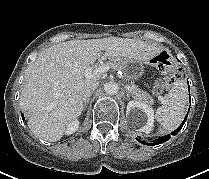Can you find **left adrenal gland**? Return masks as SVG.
Masks as SVG:
<instances>
[{
	"mask_svg": "<svg viewBox=\"0 0 209 179\" xmlns=\"http://www.w3.org/2000/svg\"><path fill=\"white\" fill-rule=\"evenodd\" d=\"M126 91V97H127V100H129L130 99V92L129 91H127V90H125Z\"/></svg>",
	"mask_w": 209,
	"mask_h": 179,
	"instance_id": "a2214340",
	"label": "left adrenal gland"
}]
</instances>
